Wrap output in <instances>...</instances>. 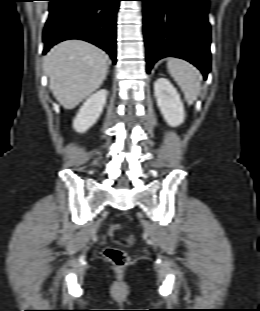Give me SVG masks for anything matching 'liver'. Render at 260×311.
Segmentation results:
<instances>
[{
  "mask_svg": "<svg viewBox=\"0 0 260 311\" xmlns=\"http://www.w3.org/2000/svg\"><path fill=\"white\" fill-rule=\"evenodd\" d=\"M50 89L65 109H73L103 83L108 72L105 53L81 40L56 45L44 58Z\"/></svg>",
  "mask_w": 260,
  "mask_h": 311,
  "instance_id": "liver-1",
  "label": "liver"
}]
</instances>
